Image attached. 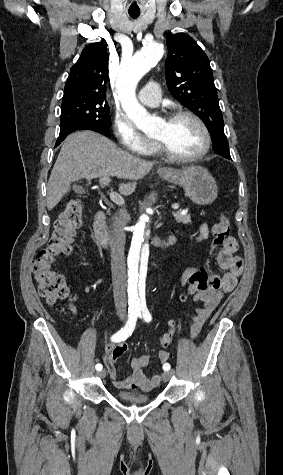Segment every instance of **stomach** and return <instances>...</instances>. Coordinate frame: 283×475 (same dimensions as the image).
<instances>
[{
	"label": "stomach",
	"mask_w": 283,
	"mask_h": 475,
	"mask_svg": "<svg viewBox=\"0 0 283 475\" xmlns=\"http://www.w3.org/2000/svg\"><path fill=\"white\" fill-rule=\"evenodd\" d=\"M157 174L170 184L182 186L186 196L199 206L212 204L218 196V188L213 176L207 168H202V166H188L182 170L168 168L166 172L157 170Z\"/></svg>",
	"instance_id": "0dacf381"
}]
</instances>
